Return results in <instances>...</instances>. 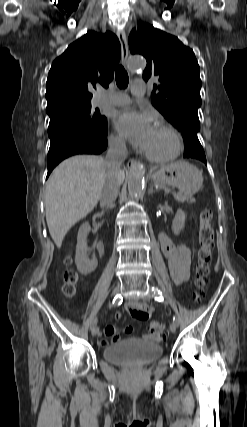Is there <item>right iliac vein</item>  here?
Here are the masks:
<instances>
[{
    "mask_svg": "<svg viewBox=\"0 0 247 427\" xmlns=\"http://www.w3.org/2000/svg\"><path fill=\"white\" fill-rule=\"evenodd\" d=\"M119 292H120V287L116 286L112 291V295L113 296L118 295ZM98 332H99V327L97 326V324H95L94 326L91 327L92 336H96L98 334Z\"/></svg>",
    "mask_w": 247,
    "mask_h": 427,
    "instance_id": "63e3f726",
    "label": "right iliac vein"
}]
</instances>
